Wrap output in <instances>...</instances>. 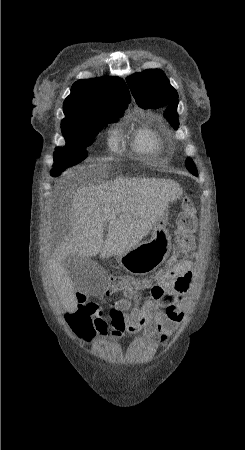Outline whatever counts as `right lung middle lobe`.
I'll use <instances>...</instances> for the list:
<instances>
[{
    "label": "right lung middle lobe",
    "instance_id": "1",
    "mask_svg": "<svg viewBox=\"0 0 245 450\" xmlns=\"http://www.w3.org/2000/svg\"><path fill=\"white\" fill-rule=\"evenodd\" d=\"M126 108L98 104L63 119L61 128L66 146L55 151L51 176L56 177L84 160L88 155L86 147L92 143L101 127L121 117Z\"/></svg>",
    "mask_w": 245,
    "mask_h": 450
}]
</instances>
